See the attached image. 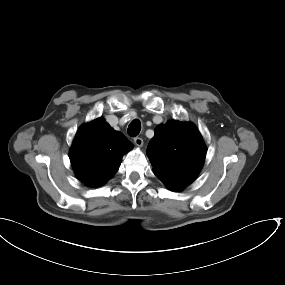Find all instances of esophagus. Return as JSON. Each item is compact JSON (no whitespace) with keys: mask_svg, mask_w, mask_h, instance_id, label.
Here are the masks:
<instances>
[{"mask_svg":"<svg viewBox=\"0 0 285 285\" xmlns=\"http://www.w3.org/2000/svg\"><path fill=\"white\" fill-rule=\"evenodd\" d=\"M134 143L136 144V146L141 147L143 145V139L140 137H135Z\"/></svg>","mask_w":285,"mask_h":285,"instance_id":"obj_1","label":"esophagus"}]
</instances>
